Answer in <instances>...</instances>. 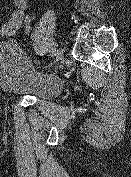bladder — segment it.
Masks as SVG:
<instances>
[{
    "label": "bladder",
    "mask_w": 131,
    "mask_h": 177,
    "mask_svg": "<svg viewBox=\"0 0 131 177\" xmlns=\"http://www.w3.org/2000/svg\"><path fill=\"white\" fill-rule=\"evenodd\" d=\"M0 86L11 95L52 99L63 89L61 77L37 70L15 43L0 44Z\"/></svg>",
    "instance_id": "31cf9c89"
}]
</instances>
